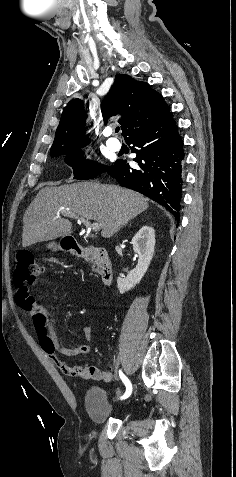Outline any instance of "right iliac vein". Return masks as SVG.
<instances>
[{"label": "right iliac vein", "mask_w": 236, "mask_h": 477, "mask_svg": "<svg viewBox=\"0 0 236 477\" xmlns=\"http://www.w3.org/2000/svg\"><path fill=\"white\" fill-rule=\"evenodd\" d=\"M124 388H125V387L120 384V385H118V387L113 391L112 395L114 396V398H113V399H114V400H113L114 402H117V403L119 404V402H118L119 399H118V398H119V396H123V395H124V392H123V391H124V390H123ZM114 392H117V395H114ZM114 406L116 407L117 405L115 404Z\"/></svg>", "instance_id": "1"}]
</instances>
